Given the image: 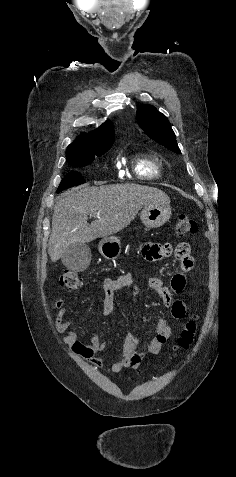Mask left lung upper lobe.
<instances>
[{
    "mask_svg": "<svg viewBox=\"0 0 236 477\" xmlns=\"http://www.w3.org/2000/svg\"><path fill=\"white\" fill-rule=\"evenodd\" d=\"M137 120L140 127L151 139L175 153H180L175 133L171 129L169 121L154 106H141L137 110Z\"/></svg>",
    "mask_w": 236,
    "mask_h": 477,
    "instance_id": "1",
    "label": "left lung upper lobe"
}]
</instances>
